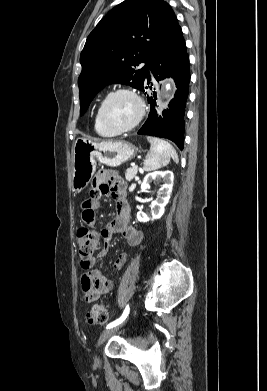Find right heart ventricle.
<instances>
[{"label":"right heart ventricle","instance_id":"e07e8e85","mask_svg":"<svg viewBox=\"0 0 267 391\" xmlns=\"http://www.w3.org/2000/svg\"><path fill=\"white\" fill-rule=\"evenodd\" d=\"M93 124H94V129H95L96 133L102 137H112V136L116 135V133L108 130L101 123V121L99 119V107L95 111Z\"/></svg>","mask_w":267,"mask_h":391}]
</instances>
